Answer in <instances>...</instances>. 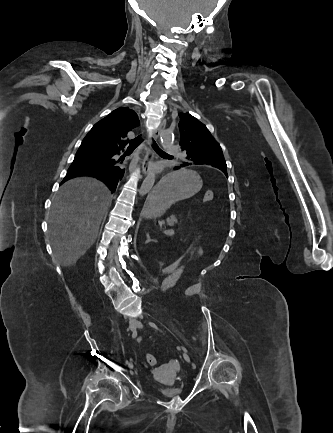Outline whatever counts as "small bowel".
<instances>
[{"label":"small bowel","mask_w":333,"mask_h":433,"mask_svg":"<svg viewBox=\"0 0 333 433\" xmlns=\"http://www.w3.org/2000/svg\"><path fill=\"white\" fill-rule=\"evenodd\" d=\"M194 250L196 251V254L199 257L202 256L203 250H202V248L200 246L196 247ZM184 270H185V265L183 267H177V269L174 272H172L173 273L172 276H170V277L169 276H166V277L164 276V279L162 280V286H161L162 290L165 291V292H167L170 289H172L176 285V283L178 282V280L180 279V277L183 274ZM202 291H203L202 284L201 283H197V284H194V285L188 287L185 290V295L187 297H194V296L200 295L202 293ZM139 340H141V338H139ZM153 374L156 375L157 374V370H153Z\"/></svg>","instance_id":"obj_1"}]
</instances>
